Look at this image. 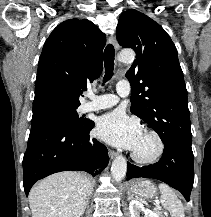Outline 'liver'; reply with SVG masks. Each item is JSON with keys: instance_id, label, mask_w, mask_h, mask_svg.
<instances>
[{"instance_id": "obj_1", "label": "liver", "mask_w": 211, "mask_h": 217, "mask_svg": "<svg viewBox=\"0 0 211 217\" xmlns=\"http://www.w3.org/2000/svg\"><path fill=\"white\" fill-rule=\"evenodd\" d=\"M91 190L90 179L80 172L48 176L29 193L32 217H81Z\"/></svg>"}]
</instances>
